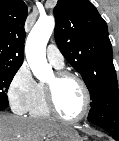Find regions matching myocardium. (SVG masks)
Masks as SVG:
<instances>
[{
  "label": "myocardium",
  "instance_id": "obj_1",
  "mask_svg": "<svg viewBox=\"0 0 119 141\" xmlns=\"http://www.w3.org/2000/svg\"><path fill=\"white\" fill-rule=\"evenodd\" d=\"M54 81H60L65 78H73L78 82L80 85L83 95H84V107L82 112L77 115L76 117H66L64 116L58 109L55 101V95H54V84L53 83H45L44 84V97H45V102L48 111L50 114L55 116L56 118L67 121V122H78L81 121L83 118L87 116L90 110L91 106V97H90V92L89 89L84 82V80L77 74L70 72L68 70H57L54 72Z\"/></svg>",
  "mask_w": 119,
  "mask_h": 141
}]
</instances>
